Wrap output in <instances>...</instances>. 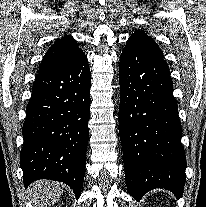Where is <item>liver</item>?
Listing matches in <instances>:
<instances>
[{"label": "liver", "mask_w": 206, "mask_h": 207, "mask_svg": "<svg viewBox=\"0 0 206 207\" xmlns=\"http://www.w3.org/2000/svg\"><path fill=\"white\" fill-rule=\"evenodd\" d=\"M62 193L61 185L49 180H39L30 187L31 198L36 207H49L59 200Z\"/></svg>", "instance_id": "6515ba94"}]
</instances>
